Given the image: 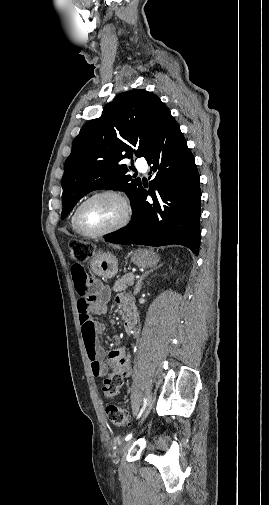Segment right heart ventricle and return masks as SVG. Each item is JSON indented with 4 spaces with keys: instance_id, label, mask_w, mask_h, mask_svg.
<instances>
[{
    "instance_id": "e07e8e85",
    "label": "right heart ventricle",
    "mask_w": 269,
    "mask_h": 505,
    "mask_svg": "<svg viewBox=\"0 0 269 505\" xmlns=\"http://www.w3.org/2000/svg\"><path fill=\"white\" fill-rule=\"evenodd\" d=\"M74 214H75V211L72 213L71 217H70V226H71V229L74 233L78 234V235H82L79 230L76 228L75 226V223H74Z\"/></svg>"
}]
</instances>
